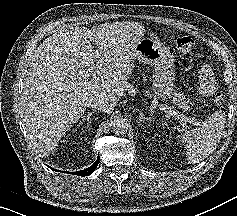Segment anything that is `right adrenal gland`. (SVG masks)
Segmentation results:
<instances>
[{"mask_svg": "<svg viewBox=\"0 0 237 216\" xmlns=\"http://www.w3.org/2000/svg\"><path fill=\"white\" fill-rule=\"evenodd\" d=\"M94 112L95 110L93 109L92 112L88 113L86 116H83L82 121H89Z\"/></svg>", "mask_w": 237, "mask_h": 216, "instance_id": "1", "label": "right adrenal gland"}]
</instances>
